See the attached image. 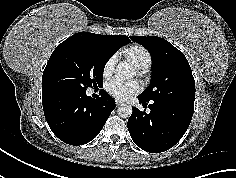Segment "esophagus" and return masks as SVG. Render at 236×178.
Here are the masks:
<instances>
[{
  "mask_svg": "<svg viewBox=\"0 0 236 178\" xmlns=\"http://www.w3.org/2000/svg\"><path fill=\"white\" fill-rule=\"evenodd\" d=\"M115 104H116V106H119V105H121V104H122V102H121V101H119V100H115Z\"/></svg>",
  "mask_w": 236,
  "mask_h": 178,
  "instance_id": "1",
  "label": "esophagus"
}]
</instances>
